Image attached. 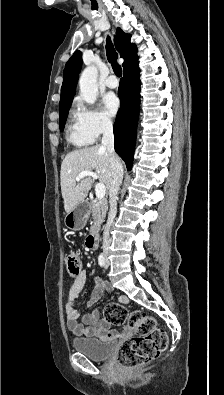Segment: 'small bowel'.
<instances>
[{"instance_id":"obj_1","label":"small bowel","mask_w":224,"mask_h":395,"mask_svg":"<svg viewBox=\"0 0 224 395\" xmlns=\"http://www.w3.org/2000/svg\"><path fill=\"white\" fill-rule=\"evenodd\" d=\"M86 280L87 274L85 271H82L77 276H74L71 281L68 300L64 306L67 328L77 336L89 338L110 337L112 336L109 329L110 323L105 318H101L98 310L84 315L82 321H79L80 313L75 308L74 301L78 297V294L83 288ZM95 283L96 286L92 292L91 298L87 302V307H90L97 302L101 298L104 288L107 287V284H105L100 278H95ZM120 300L123 302L128 301L126 296H121Z\"/></svg>"}]
</instances>
